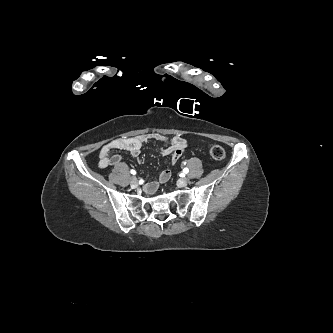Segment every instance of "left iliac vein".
<instances>
[{
	"label": "left iliac vein",
	"instance_id": "left-iliac-vein-1",
	"mask_svg": "<svg viewBox=\"0 0 333 333\" xmlns=\"http://www.w3.org/2000/svg\"><path fill=\"white\" fill-rule=\"evenodd\" d=\"M188 184V179L187 178H181L177 181V185L179 187H185Z\"/></svg>",
	"mask_w": 333,
	"mask_h": 333
}]
</instances>
